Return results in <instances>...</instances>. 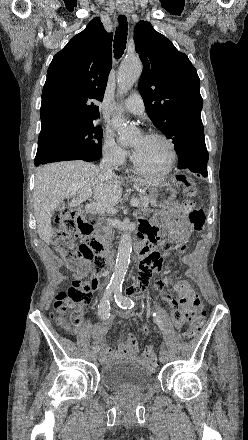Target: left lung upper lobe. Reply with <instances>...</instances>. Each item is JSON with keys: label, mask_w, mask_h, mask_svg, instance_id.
Returning a JSON list of instances; mask_svg holds the SVG:
<instances>
[{"label": "left lung upper lobe", "mask_w": 248, "mask_h": 440, "mask_svg": "<svg viewBox=\"0 0 248 440\" xmlns=\"http://www.w3.org/2000/svg\"><path fill=\"white\" fill-rule=\"evenodd\" d=\"M143 63L139 91L155 126L175 145L178 166L208 162L201 120L200 80L188 57L147 21L134 28Z\"/></svg>", "instance_id": "left-lung-upper-lobe-1"}]
</instances>
